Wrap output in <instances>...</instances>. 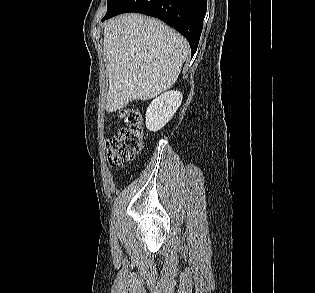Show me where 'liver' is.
Listing matches in <instances>:
<instances>
[{"label": "liver", "mask_w": 315, "mask_h": 293, "mask_svg": "<svg viewBox=\"0 0 315 293\" xmlns=\"http://www.w3.org/2000/svg\"><path fill=\"white\" fill-rule=\"evenodd\" d=\"M108 113L133 100L152 99L178 79L189 44L163 22L139 14L120 15L104 27Z\"/></svg>", "instance_id": "6515ba94"}]
</instances>
